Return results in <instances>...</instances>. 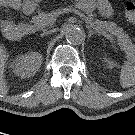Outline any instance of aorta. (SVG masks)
Returning a JSON list of instances; mask_svg holds the SVG:
<instances>
[{"label": "aorta", "instance_id": "obj_1", "mask_svg": "<svg viewBox=\"0 0 135 135\" xmlns=\"http://www.w3.org/2000/svg\"><path fill=\"white\" fill-rule=\"evenodd\" d=\"M84 37V32L76 26H68L65 29V38L71 44H80Z\"/></svg>", "mask_w": 135, "mask_h": 135}]
</instances>
